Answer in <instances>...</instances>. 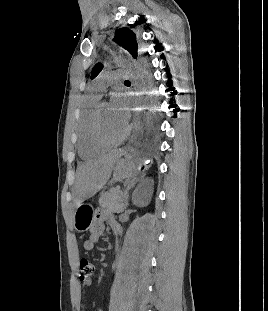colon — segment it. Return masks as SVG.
<instances>
[{"mask_svg": "<svg viewBox=\"0 0 268 311\" xmlns=\"http://www.w3.org/2000/svg\"><path fill=\"white\" fill-rule=\"evenodd\" d=\"M94 267L92 263L86 259L82 258L80 261V277L81 279L90 278L93 274Z\"/></svg>", "mask_w": 268, "mask_h": 311, "instance_id": "5ec220e1", "label": "colon"}]
</instances>
